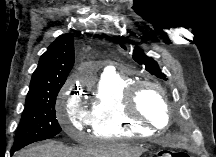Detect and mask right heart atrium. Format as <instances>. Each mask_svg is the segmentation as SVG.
I'll use <instances>...</instances> for the list:
<instances>
[{"mask_svg": "<svg viewBox=\"0 0 216 157\" xmlns=\"http://www.w3.org/2000/svg\"><path fill=\"white\" fill-rule=\"evenodd\" d=\"M70 90H72L71 83L64 89L66 101L64 110L59 115V123L68 134L76 135L89 125V113L82 107L76 95L69 94Z\"/></svg>", "mask_w": 216, "mask_h": 157, "instance_id": "1", "label": "right heart atrium"}]
</instances>
